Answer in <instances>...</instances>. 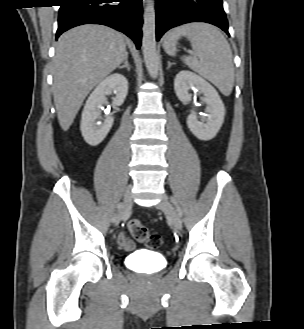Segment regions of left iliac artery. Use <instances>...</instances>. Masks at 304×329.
I'll list each match as a JSON object with an SVG mask.
<instances>
[{
	"label": "left iliac artery",
	"instance_id": "44dca946",
	"mask_svg": "<svg viewBox=\"0 0 304 329\" xmlns=\"http://www.w3.org/2000/svg\"><path fill=\"white\" fill-rule=\"evenodd\" d=\"M170 200L176 206L179 216H182V211H181L180 207L178 206L176 199L174 197H170Z\"/></svg>",
	"mask_w": 304,
	"mask_h": 329
}]
</instances>
